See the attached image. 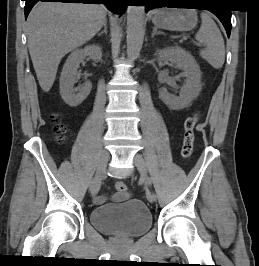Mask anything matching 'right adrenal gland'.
<instances>
[{
    "label": "right adrenal gland",
    "mask_w": 259,
    "mask_h": 266,
    "mask_svg": "<svg viewBox=\"0 0 259 266\" xmlns=\"http://www.w3.org/2000/svg\"><path fill=\"white\" fill-rule=\"evenodd\" d=\"M103 26L104 29L98 34V36L102 35L103 33L107 34V20H105Z\"/></svg>",
    "instance_id": "obj_1"
}]
</instances>
